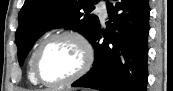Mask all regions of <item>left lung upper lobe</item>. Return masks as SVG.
Returning <instances> with one entry per match:
<instances>
[{
    "instance_id": "1",
    "label": "left lung upper lobe",
    "mask_w": 173,
    "mask_h": 91,
    "mask_svg": "<svg viewBox=\"0 0 173 91\" xmlns=\"http://www.w3.org/2000/svg\"><path fill=\"white\" fill-rule=\"evenodd\" d=\"M98 0H25L18 16L15 40L20 65L34 42L47 30L67 27L82 33L89 41L99 26V18L90 14Z\"/></svg>"
}]
</instances>
